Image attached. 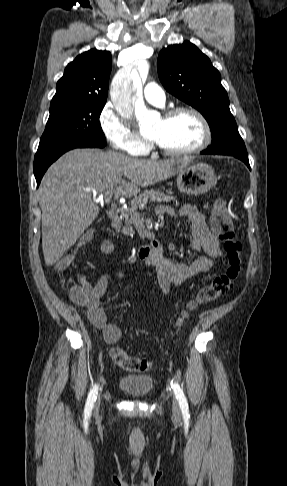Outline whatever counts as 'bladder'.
<instances>
[{
  "label": "bladder",
  "mask_w": 287,
  "mask_h": 486,
  "mask_svg": "<svg viewBox=\"0 0 287 486\" xmlns=\"http://www.w3.org/2000/svg\"><path fill=\"white\" fill-rule=\"evenodd\" d=\"M154 386L148 375H125L119 381V388L126 394L141 398L150 394Z\"/></svg>",
  "instance_id": "31cf9c89"
}]
</instances>
